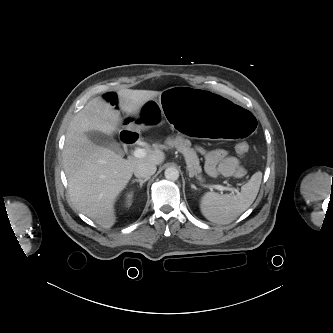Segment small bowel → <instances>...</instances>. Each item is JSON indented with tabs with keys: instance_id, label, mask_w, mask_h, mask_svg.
<instances>
[{
	"instance_id": "obj_1",
	"label": "small bowel",
	"mask_w": 333,
	"mask_h": 333,
	"mask_svg": "<svg viewBox=\"0 0 333 333\" xmlns=\"http://www.w3.org/2000/svg\"><path fill=\"white\" fill-rule=\"evenodd\" d=\"M103 100L111 107L118 109L120 107L119 96L115 92H108L103 95ZM206 169L211 175H230L238 166V161L230 157L224 150H213L205 153Z\"/></svg>"
}]
</instances>
